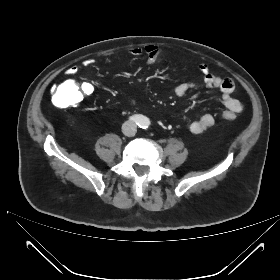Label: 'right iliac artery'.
Returning a JSON list of instances; mask_svg holds the SVG:
<instances>
[{
	"instance_id": "obj_1",
	"label": "right iliac artery",
	"mask_w": 280,
	"mask_h": 280,
	"mask_svg": "<svg viewBox=\"0 0 280 280\" xmlns=\"http://www.w3.org/2000/svg\"><path fill=\"white\" fill-rule=\"evenodd\" d=\"M129 120L135 122L136 124H139L142 122V117L140 115H133L129 118Z\"/></svg>"
}]
</instances>
